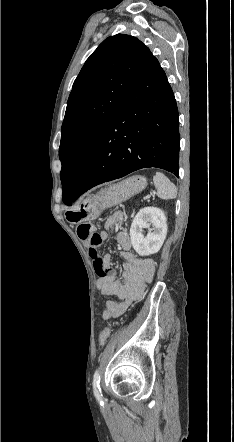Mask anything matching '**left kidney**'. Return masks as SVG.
<instances>
[{
	"mask_svg": "<svg viewBox=\"0 0 234 442\" xmlns=\"http://www.w3.org/2000/svg\"><path fill=\"white\" fill-rule=\"evenodd\" d=\"M152 225L153 228H150ZM148 229L146 236L142 234ZM167 234V218L164 212L156 207L142 208L133 219L130 228L131 244L140 256L157 253L163 245Z\"/></svg>",
	"mask_w": 234,
	"mask_h": 442,
	"instance_id": "1",
	"label": "left kidney"
}]
</instances>
